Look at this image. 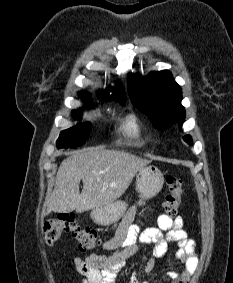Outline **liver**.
<instances>
[{"label":"liver","instance_id":"obj_1","mask_svg":"<svg viewBox=\"0 0 233 283\" xmlns=\"http://www.w3.org/2000/svg\"><path fill=\"white\" fill-rule=\"evenodd\" d=\"M149 163L119 150L95 148L72 154L60 164L54 190L45 199L42 218L52 211L82 213L115 202L125 193L137 171Z\"/></svg>","mask_w":233,"mask_h":283}]
</instances>
